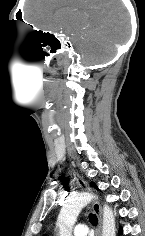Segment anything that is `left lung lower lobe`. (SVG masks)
<instances>
[{"instance_id":"obj_1","label":"left lung lower lobe","mask_w":145,"mask_h":236,"mask_svg":"<svg viewBox=\"0 0 145 236\" xmlns=\"http://www.w3.org/2000/svg\"><path fill=\"white\" fill-rule=\"evenodd\" d=\"M123 233V230L122 228L119 229V234H122Z\"/></svg>"}]
</instances>
